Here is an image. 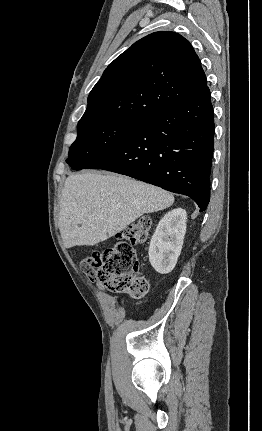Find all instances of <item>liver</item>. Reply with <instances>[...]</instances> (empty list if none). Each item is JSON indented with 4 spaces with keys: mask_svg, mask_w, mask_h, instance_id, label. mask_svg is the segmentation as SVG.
I'll use <instances>...</instances> for the list:
<instances>
[{
    "mask_svg": "<svg viewBox=\"0 0 262 431\" xmlns=\"http://www.w3.org/2000/svg\"><path fill=\"white\" fill-rule=\"evenodd\" d=\"M173 203L169 192L128 177L101 172L70 175L62 189L59 211L64 246L98 244L143 214Z\"/></svg>",
    "mask_w": 262,
    "mask_h": 431,
    "instance_id": "obj_1",
    "label": "liver"
}]
</instances>
